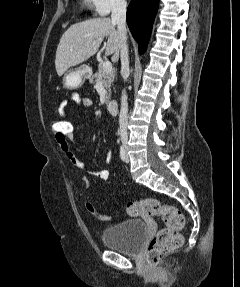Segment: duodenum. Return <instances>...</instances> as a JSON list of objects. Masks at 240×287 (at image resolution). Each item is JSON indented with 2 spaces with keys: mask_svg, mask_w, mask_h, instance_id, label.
Returning <instances> with one entry per match:
<instances>
[{
  "mask_svg": "<svg viewBox=\"0 0 240 287\" xmlns=\"http://www.w3.org/2000/svg\"><path fill=\"white\" fill-rule=\"evenodd\" d=\"M107 109L111 114H115L118 109V101L116 99H110L107 102Z\"/></svg>",
  "mask_w": 240,
  "mask_h": 287,
  "instance_id": "obj_1",
  "label": "duodenum"
}]
</instances>
